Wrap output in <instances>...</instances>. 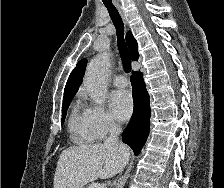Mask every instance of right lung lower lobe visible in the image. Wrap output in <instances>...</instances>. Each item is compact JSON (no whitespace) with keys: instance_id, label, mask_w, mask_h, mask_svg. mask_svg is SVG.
<instances>
[{"instance_id":"1","label":"right lung lower lobe","mask_w":224,"mask_h":188,"mask_svg":"<svg viewBox=\"0 0 224 188\" xmlns=\"http://www.w3.org/2000/svg\"><path fill=\"white\" fill-rule=\"evenodd\" d=\"M134 111L125 129L122 141L128 144L138 155L149 134V119L151 116L149 95L143 81V74L133 71L131 76Z\"/></svg>"}]
</instances>
